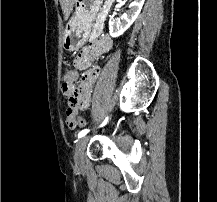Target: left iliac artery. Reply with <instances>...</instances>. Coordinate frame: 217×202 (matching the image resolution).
I'll use <instances>...</instances> for the list:
<instances>
[{
  "mask_svg": "<svg viewBox=\"0 0 217 202\" xmlns=\"http://www.w3.org/2000/svg\"><path fill=\"white\" fill-rule=\"evenodd\" d=\"M107 122H108V117L105 118V120L100 125V127H103L104 125H106ZM89 131H90L89 129H84V130L80 131L78 134V138L84 137Z\"/></svg>",
  "mask_w": 217,
  "mask_h": 202,
  "instance_id": "obj_1",
  "label": "left iliac artery"
}]
</instances>
